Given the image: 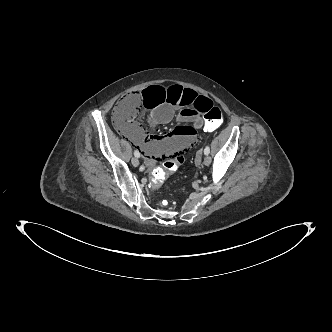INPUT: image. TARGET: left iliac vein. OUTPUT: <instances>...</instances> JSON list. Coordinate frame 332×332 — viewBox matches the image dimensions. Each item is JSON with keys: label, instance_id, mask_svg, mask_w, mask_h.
Returning a JSON list of instances; mask_svg holds the SVG:
<instances>
[{"label": "left iliac vein", "instance_id": "4c4485c4", "mask_svg": "<svg viewBox=\"0 0 332 332\" xmlns=\"http://www.w3.org/2000/svg\"><path fill=\"white\" fill-rule=\"evenodd\" d=\"M211 161H212L211 157L207 155L204 157L203 163L204 165L208 166L210 165Z\"/></svg>", "mask_w": 332, "mask_h": 332}]
</instances>
